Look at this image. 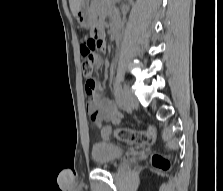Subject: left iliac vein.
I'll list each match as a JSON object with an SVG mask.
<instances>
[{"mask_svg": "<svg viewBox=\"0 0 223 191\" xmlns=\"http://www.w3.org/2000/svg\"><path fill=\"white\" fill-rule=\"evenodd\" d=\"M121 101L124 106L129 110L138 107V100L136 96L127 87H124L122 89Z\"/></svg>", "mask_w": 223, "mask_h": 191, "instance_id": "left-iliac-vein-1", "label": "left iliac vein"}]
</instances>
